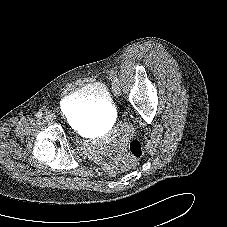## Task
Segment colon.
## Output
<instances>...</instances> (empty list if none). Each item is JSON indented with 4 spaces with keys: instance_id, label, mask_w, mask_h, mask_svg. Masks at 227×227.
Instances as JSON below:
<instances>
[{
    "instance_id": "5ec220e1",
    "label": "colon",
    "mask_w": 227,
    "mask_h": 227,
    "mask_svg": "<svg viewBox=\"0 0 227 227\" xmlns=\"http://www.w3.org/2000/svg\"><path fill=\"white\" fill-rule=\"evenodd\" d=\"M141 155V143L136 139L131 140L128 144V157L123 162V169L127 170L132 168L136 164L137 160L141 157Z\"/></svg>"
}]
</instances>
